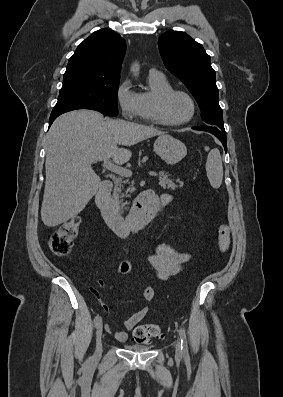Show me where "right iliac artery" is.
<instances>
[{"instance_id":"82829eb1","label":"right iliac artery","mask_w":283,"mask_h":397,"mask_svg":"<svg viewBox=\"0 0 283 397\" xmlns=\"http://www.w3.org/2000/svg\"><path fill=\"white\" fill-rule=\"evenodd\" d=\"M100 321H101V318H100L99 315H97V316L95 317V319H94V326L97 327L98 324L100 323Z\"/></svg>"}]
</instances>
